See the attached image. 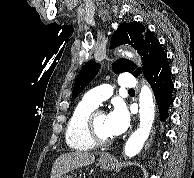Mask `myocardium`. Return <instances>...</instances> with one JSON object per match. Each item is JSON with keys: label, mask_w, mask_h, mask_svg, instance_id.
I'll list each match as a JSON object with an SVG mask.
<instances>
[{"label": "myocardium", "mask_w": 194, "mask_h": 178, "mask_svg": "<svg viewBox=\"0 0 194 178\" xmlns=\"http://www.w3.org/2000/svg\"><path fill=\"white\" fill-rule=\"evenodd\" d=\"M104 113L101 109L93 110L87 118V130L90 136V139L93 141L95 145L105 146L109 145L112 142V138H104L102 137L95 126V118L98 114Z\"/></svg>", "instance_id": "myocardium-1"}]
</instances>
